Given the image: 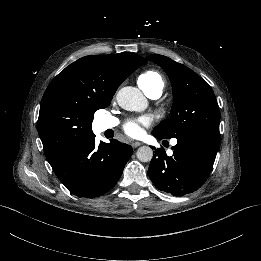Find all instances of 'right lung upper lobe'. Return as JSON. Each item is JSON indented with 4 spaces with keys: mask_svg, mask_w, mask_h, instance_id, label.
Here are the masks:
<instances>
[{
    "mask_svg": "<svg viewBox=\"0 0 261 261\" xmlns=\"http://www.w3.org/2000/svg\"><path fill=\"white\" fill-rule=\"evenodd\" d=\"M146 60L134 53L91 55L61 71L47 87L38 132L50 165L89 143L94 113L109 106L120 84Z\"/></svg>",
    "mask_w": 261,
    "mask_h": 261,
    "instance_id": "cb5924a9",
    "label": "right lung upper lobe"
}]
</instances>
